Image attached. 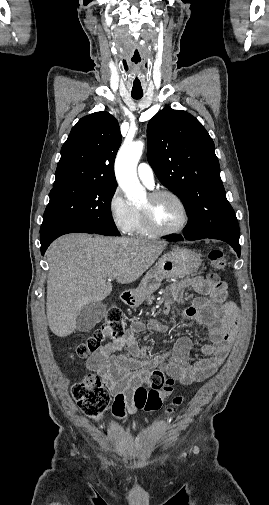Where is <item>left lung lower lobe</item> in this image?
Wrapping results in <instances>:
<instances>
[{"mask_svg":"<svg viewBox=\"0 0 269 505\" xmlns=\"http://www.w3.org/2000/svg\"><path fill=\"white\" fill-rule=\"evenodd\" d=\"M239 237L233 234H225V233H220V234H213L209 236H203V237H188V236H174L168 239V241H178V240H198V239H204V238H212V239H218L227 242L229 245L233 247V249L237 252V255L240 257V245H239Z\"/></svg>","mask_w":269,"mask_h":505,"instance_id":"left-lung-lower-lobe-1","label":"left lung lower lobe"}]
</instances>
